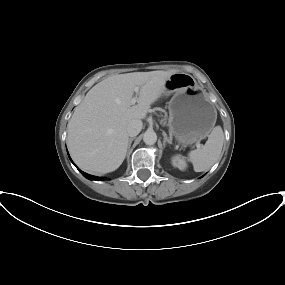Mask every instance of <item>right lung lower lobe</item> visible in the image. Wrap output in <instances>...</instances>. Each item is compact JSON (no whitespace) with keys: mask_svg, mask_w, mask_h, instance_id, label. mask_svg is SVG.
Returning <instances> with one entry per match:
<instances>
[{"mask_svg":"<svg viewBox=\"0 0 285 285\" xmlns=\"http://www.w3.org/2000/svg\"><path fill=\"white\" fill-rule=\"evenodd\" d=\"M71 160V159H70ZM72 161V160H71ZM81 173H82V175L84 176V177H86L87 179H89V180H99L97 177H95V176H92V175H89V174H87V173H85V172H83V171H81V170H79Z\"/></svg>","mask_w":285,"mask_h":285,"instance_id":"right-lung-lower-lobe-1","label":"right lung lower lobe"}]
</instances>
